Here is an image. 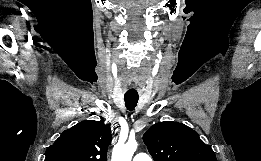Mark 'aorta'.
<instances>
[{"mask_svg":"<svg viewBox=\"0 0 261 161\" xmlns=\"http://www.w3.org/2000/svg\"><path fill=\"white\" fill-rule=\"evenodd\" d=\"M137 149V142L129 140L126 144H118L114 147L111 161H131Z\"/></svg>","mask_w":261,"mask_h":161,"instance_id":"aorta-1","label":"aorta"}]
</instances>
